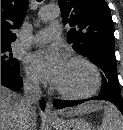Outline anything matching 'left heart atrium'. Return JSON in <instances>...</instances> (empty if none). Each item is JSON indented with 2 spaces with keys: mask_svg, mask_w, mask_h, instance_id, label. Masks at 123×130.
Returning <instances> with one entry per match:
<instances>
[{
  "mask_svg": "<svg viewBox=\"0 0 123 130\" xmlns=\"http://www.w3.org/2000/svg\"><path fill=\"white\" fill-rule=\"evenodd\" d=\"M26 64L35 78L56 86L67 61L63 53L53 47L30 54L26 59Z\"/></svg>",
  "mask_w": 123,
  "mask_h": 130,
  "instance_id": "39dd6f15",
  "label": "left heart atrium"
}]
</instances>
